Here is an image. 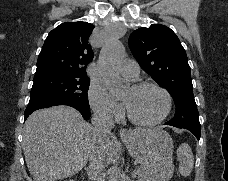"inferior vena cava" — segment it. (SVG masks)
Wrapping results in <instances>:
<instances>
[{"label": "inferior vena cava", "instance_id": "inferior-vena-cava-1", "mask_svg": "<svg viewBox=\"0 0 228 181\" xmlns=\"http://www.w3.org/2000/svg\"><path fill=\"white\" fill-rule=\"evenodd\" d=\"M91 125L96 145L89 155L88 179L89 181H104L102 169H104L107 151L101 143L103 139H108L109 133L114 129L113 115L104 107H94Z\"/></svg>", "mask_w": 228, "mask_h": 181}]
</instances>
